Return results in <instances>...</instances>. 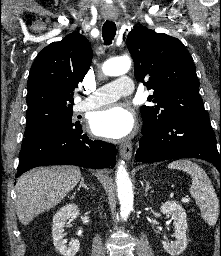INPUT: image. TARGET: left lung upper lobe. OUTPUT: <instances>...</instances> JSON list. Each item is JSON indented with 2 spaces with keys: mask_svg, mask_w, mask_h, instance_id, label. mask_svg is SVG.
<instances>
[{
  "mask_svg": "<svg viewBox=\"0 0 221 256\" xmlns=\"http://www.w3.org/2000/svg\"><path fill=\"white\" fill-rule=\"evenodd\" d=\"M137 81L154 90L142 106L144 123L163 125L176 117L205 116L208 113L199 95V80L193 59L174 37L136 27L127 36Z\"/></svg>",
  "mask_w": 221,
  "mask_h": 256,
  "instance_id": "obj_1",
  "label": "left lung upper lobe"
}]
</instances>
